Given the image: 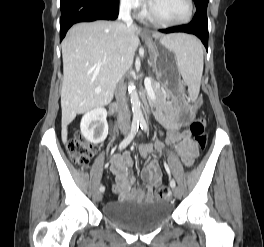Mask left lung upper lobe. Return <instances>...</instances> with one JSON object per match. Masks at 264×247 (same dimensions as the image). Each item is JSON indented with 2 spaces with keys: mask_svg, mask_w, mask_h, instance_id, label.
<instances>
[{
  "mask_svg": "<svg viewBox=\"0 0 264 247\" xmlns=\"http://www.w3.org/2000/svg\"><path fill=\"white\" fill-rule=\"evenodd\" d=\"M209 0H194L196 5V12L207 13V5Z\"/></svg>",
  "mask_w": 264,
  "mask_h": 247,
  "instance_id": "obj_1",
  "label": "left lung upper lobe"
}]
</instances>
